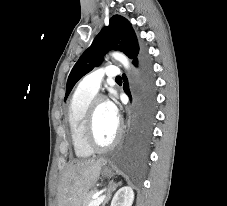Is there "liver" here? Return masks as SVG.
Segmentation results:
<instances>
[{
	"label": "liver",
	"instance_id": "1",
	"mask_svg": "<svg viewBox=\"0 0 227 206\" xmlns=\"http://www.w3.org/2000/svg\"><path fill=\"white\" fill-rule=\"evenodd\" d=\"M106 160H82L69 165L57 189L58 206H81L89 189L99 178Z\"/></svg>",
	"mask_w": 227,
	"mask_h": 206
}]
</instances>
